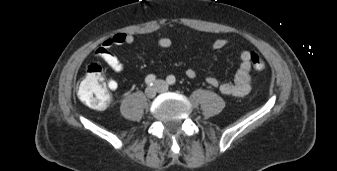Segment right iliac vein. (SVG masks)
Segmentation results:
<instances>
[{
	"instance_id": "1",
	"label": "right iliac vein",
	"mask_w": 337,
	"mask_h": 171,
	"mask_svg": "<svg viewBox=\"0 0 337 171\" xmlns=\"http://www.w3.org/2000/svg\"><path fill=\"white\" fill-rule=\"evenodd\" d=\"M145 94L148 98H154L157 94V89L155 86L153 87H148L146 90H145Z\"/></svg>"
}]
</instances>
